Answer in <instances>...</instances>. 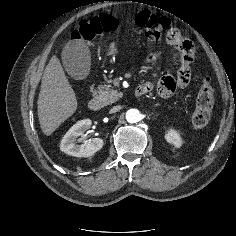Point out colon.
<instances>
[{"mask_svg": "<svg viewBox=\"0 0 236 236\" xmlns=\"http://www.w3.org/2000/svg\"><path fill=\"white\" fill-rule=\"evenodd\" d=\"M137 25L144 29L147 39L156 41L165 39L171 44L179 45L184 41L183 35L172 25L171 21L147 11L140 12L136 17ZM119 27V21L114 16L101 14L82 20L73 32V39L85 42L100 37L104 34L115 32ZM188 83V77H184L182 84ZM214 105V90L207 79H204L197 97L196 106L192 116V126L196 130L204 128L211 118Z\"/></svg>", "mask_w": 236, "mask_h": 236, "instance_id": "colon-1", "label": "colon"}]
</instances>
